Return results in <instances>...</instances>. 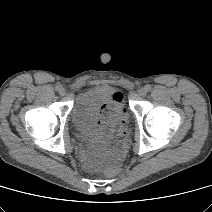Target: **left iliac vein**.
Returning <instances> with one entry per match:
<instances>
[{"label": "left iliac vein", "mask_w": 212, "mask_h": 212, "mask_svg": "<svg viewBox=\"0 0 212 212\" xmlns=\"http://www.w3.org/2000/svg\"><path fill=\"white\" fill-rule=\"evenodd\" d=\"M138 94H139L140 96H145V95L147 94L146 88H145V87L140 88V89L138 90Z\"/></svg>", "instance_id": "obj_1"}]
</instances>
